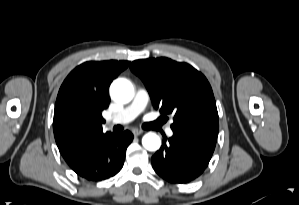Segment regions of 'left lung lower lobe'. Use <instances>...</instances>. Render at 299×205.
I'll use <instances>...</instances> for the list:
<instances>
[{"mask_svg": "<svg viewBox=\"0 0 299 205\" xmlns=\"http://www.w3.org/2000/svg\"><path fill=\"white\" fill-rule=\"evenodd\" d=\"M218 129L173 130L151 158L156 173L171 183H188L208 166L215 149Z\"/></svg>", "mask_w": 299, "mask_h": 205, "instance_id": "1", "label": "left lung lower lobe"}]
</instances>
